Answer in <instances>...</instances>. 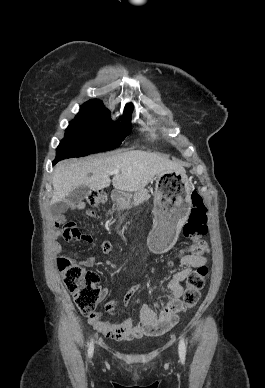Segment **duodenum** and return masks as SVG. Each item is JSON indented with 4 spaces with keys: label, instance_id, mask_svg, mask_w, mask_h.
<instances>
[{
    "label": "duodenum",
    "instance_id": "obj_1",
    "mask_svg": "<svg viewBox=\"0 0 265 388\" xmlns=\"http://www.w3.org/2000/svg\"><path fill=\"white\" fill-rule=\"evenodd\" d=\"M112 199L116 203H122V202H124L126 200V195L124 193H122V192L115 191L112 194Z\"/></svg>",
    "mask_w": 265,
    "mask_h": 388
}]
</instances>
